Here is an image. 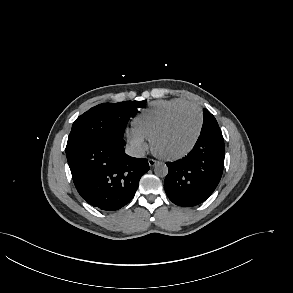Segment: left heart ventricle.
<instances>
[{
    "label": "left heart ventricle",
    "instance_id": "obj_1",
    "mask_svg": "<svg viewBox=\"0 0 293 293\" xmlns=\"http://www.w3.org/2000/svg\"><path fill=\"white\" fill-rule=\"evenodd\" d=\"M199 126V114L194 108L181 111L160 135L156 148L164 154H176L192 142Z\"/></svg>",
    "mask_w": 293,
    "mask_h": 293
}]
</instances>
